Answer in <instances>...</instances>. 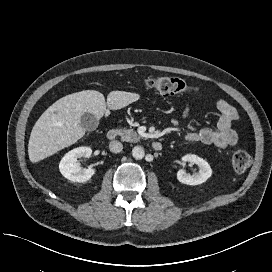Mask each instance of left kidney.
Segmentation results:
<instances>
[{
    "instance_id": "5707ae66",
    "label": "left kidney",
    "mask_w": 272,
    "mask_h": 272,
    "mask_svg": "<svg viewBox=\"0 0 272 272\" xmlns=\"http://www.w3.org/2000/svg\"><path fill=\"white\" fill-rule=\"evenodd\" d=\"M183 163L190 162L199 167V171L193 175L186 173L185 170L180 169L177 172V179L179 182L186 185H199L205 182L212 174L210 165L203 159L194 154H187L182 157Z\"/></svg>"
}]
</instances>
